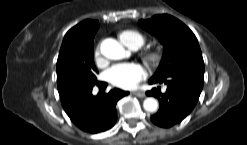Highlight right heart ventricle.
Wrapping results in <instances>:
<instances>
[{
  "mask_svg": "<svg viewBox=\"0 0 247 145\" xmlns=\"http://www.w3.org/2000/svg\"><path fill=\"white\" fill-rule=\"evenodd\" d=\"M119 38L127 46L132 42H136L139 46H142L145 42L144 35L135 30H124L119 34Z\"/></svg>",
  "mask_w": 247,
  "mask_h": 145,
  "instance_id": "obj_1",
  "label": "right heart ventricle"
}]
</instances>
